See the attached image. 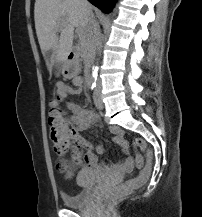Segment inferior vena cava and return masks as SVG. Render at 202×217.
<instances>
[{
    "instance_id": "inferior-vena-cava-1",
    "label": "inferior vena cava",
    "mask_w": 202,
    "mask_h": 217,
    "mask_svg": "<svg viewBox=\"0 0 202 217\" xmlns=\"http://www.w3.org/2000/svg\"><path fill=\"white\" fill-rule=\"evenodd\" d=\"M81 3L86 7V14H87V31L91 34L92 43L94 48L97 50L98 54H101L102 48V39H101V32L99 23L94 17L92 10L88 6L87 0H81Z\"/></svg>"
}]
</instances>
